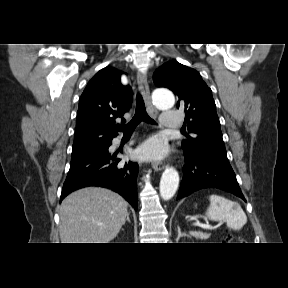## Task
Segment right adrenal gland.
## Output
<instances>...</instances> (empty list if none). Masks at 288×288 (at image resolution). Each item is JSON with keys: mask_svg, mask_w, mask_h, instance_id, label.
Masks as SVG:
<instances>
[{"mask_svg": "<svg viewBox=\"0 0 288 288\" xmlns=\"http://www.w3.org/2000/svg\"><path fill=\"white\" fill-rule=\"evenodd\" d=\"M127 221L130 223L129 213L127 214Z\"/></svg>", "mask_w": 288, "mask_h": 288, "instance_id": "2a0ac1e0", "label": "right adrenal gland"}]
</instances>
